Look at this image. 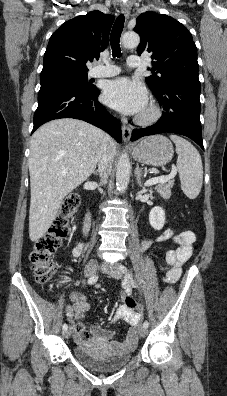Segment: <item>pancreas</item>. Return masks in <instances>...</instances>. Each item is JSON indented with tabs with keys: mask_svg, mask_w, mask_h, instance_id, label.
Instances as JSON below:
<instances>
[{
	"mask_svg": "<svg viewBox=\"0 0 227 396\" xmlns=\"http://www.w3.org/2000/svg\"><path fill=\"white\" fill-rule=\"evenodd\" d=\"M174 185V180L169 179L167 182L160 183L155 187L157 192L163 197L164 199H169L171 196V189Z\"/></svg>",
	"mask_w": 227,
	"mask_h": 396,
	"instance_id": "1",
	"label": "pancreas"
}]
</instances>
